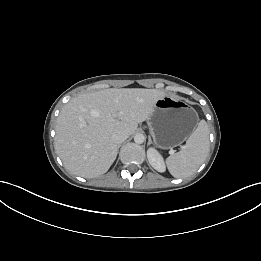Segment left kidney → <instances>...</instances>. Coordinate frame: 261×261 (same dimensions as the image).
Wrapping results in <instances>:
<instances>
[{"instance_id": "obj_1", "label": "left kidney", "mask_w": 261, "mask_h": 261, "mask_svg": "<svg viewBox=\"0 0 261 261\" xmlns=\"http://www.w3.org/2000/svg\"><path fill=\"white\" fill-rule=\"evenodd\" d=\"M147 158L151 166L158 172L165 171V164L162 156L154 148H149L147 150Z\"/></svg>"}]
</instances>
